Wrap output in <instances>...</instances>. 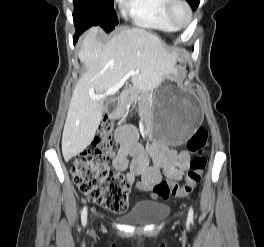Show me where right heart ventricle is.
I'll use <instances>...</instances> for the list:
<instances>
[{"instance_id": "1", "label": "right heart ventricle", "mask_w": 264, "mask_h": 247, "mask_svg": "<svg viewBox=\"0 0 264 247\" xmlns=\"http://www.w3.org/2000/svg\"><path fill=\"white\" fill-rule=\"evenodd\" d=\"M169 2L170 0H130L127 10L138 26L173 32L177 28L172 24L167 14Z\"/></svg>"}]
</instances>
